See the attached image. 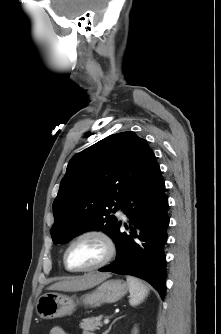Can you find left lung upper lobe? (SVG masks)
<instances>
[{
    "mask_svg": "<svg viewBox=\"0 0 221 334\" xmlns=\"http://www.w3.org/2000/svg\"><path fill=\"white\" fill-rule=\"evenodd\" d=\"M154 158L146 140L132 131L110 135L73 157L53 202V242L64 244L88 230L112 237L117 219L111 211Z\"/></svg>",
    "mask_w": 221,
    "mask_h": 334,
    "instance_id": "1",
    "label": "left lung upper lobe"
}]
</instances>
